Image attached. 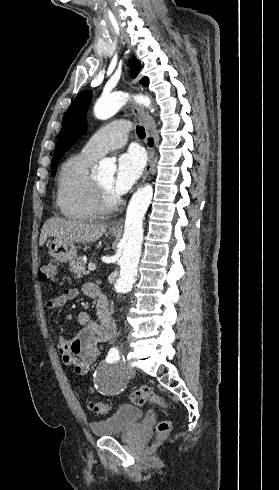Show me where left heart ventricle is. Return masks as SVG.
Wrapping results in <instances>:
<instances>
[{"mask_svg": "<svg viewBox=\"0 0 279 490\" xmlns=\"http://www.w3.org/2000/svg\"><path fill=\"white\" fill-rule=\"evenodd\" d=\"M99 185L111 189V184H112V177H107L104 179H101L99 182H97Z\"/></svg>", "mask_w": 279, "mask_h": 490, "instance_id": "1", "label": "left heart ventricle"}]
</instances>
